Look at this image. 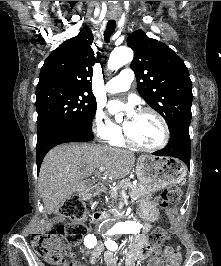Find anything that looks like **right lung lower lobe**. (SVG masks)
<instances>
[{"label": "right lung lower lobe", "mask_w": 221, "mask_h": 266, "mask_svg": "<svg viewBox=\"0 0 221 266\" xmlns=\"http://www.w3.org/2000/svg\"><path fill=\"white\" fill-rule=\"evenodd\" d=\"M94 138L92 131H86L78 127H62L55 129L43 138L37 140L36 157L37 172L39 173L41 163L46 153L56 145L66 142H88Z\"/></svg>", "instance_id": "1"}]
</instances>
